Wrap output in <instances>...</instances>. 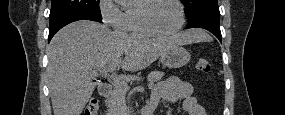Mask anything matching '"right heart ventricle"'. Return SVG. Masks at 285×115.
<instances>
[{"label":"right heart ventricle","instance_id":"e07e8e85","mask_svg":"<svg viewBox=\"0 0 285 115\" xmlns=\"http://www.w3.org/2000/svg\"><path fill=\"white\" fill-rule=\"evenodd\" d=\"M124 30L129 33L139 36H150L143 28L139 17V6H131L125 11Z\"/></svg>","mask_w":285,"mask_h":115}]
</instances>
